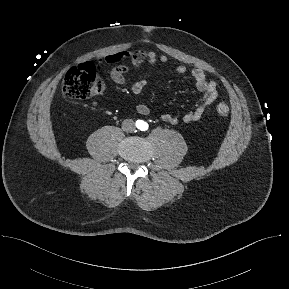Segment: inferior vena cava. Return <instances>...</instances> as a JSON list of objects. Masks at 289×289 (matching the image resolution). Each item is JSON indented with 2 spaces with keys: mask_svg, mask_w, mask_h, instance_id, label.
<instances>
[{
  "mask_svg": "<svg viewBox=\"0 0 289 289\" xmlns=\"http://www.w3.org/2000/svg\"><path fill=\"white\" fill-rule=\"evenodd\" d=\"M122 129L125 132H133L135 130V123L132 119H126L122 122Z\"/></svg>",
  "mask_w": 289,
  "mask_h": 289,
  "instance_id": "inferior-vena-cava-1",
  "label": "inferior vena cava"
}]
</instances>
